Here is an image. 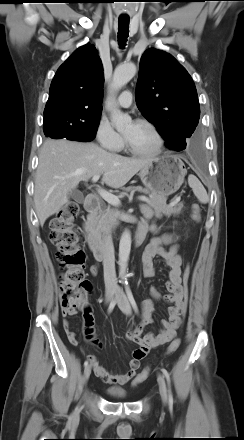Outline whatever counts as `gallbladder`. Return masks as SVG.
Returning a JSON list of instances; mask_svg holds the SVG:
<instances>
[{"label": "gallbladder", "instance_id": "bac80fb5", "mask_svg": "<svg viewBox=\"0 0 244 440\" xmlns=\"http://www.w3.org/2000/svg\"><path fill=\"white\" fill-rule=\"evenodd\" d=\"M69 197L73 200H75L76 202H82L84 199V195L82 192H80L79 190H72L69 193Z\"/></svg>", "mask_w": 244, "mask_h": 440}]
</instances>
